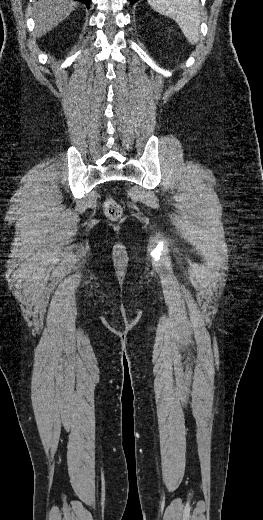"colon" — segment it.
Masks as SVG:
<instances>
[{
    "label": "colon",
    "instance_id": "colon-1",
    "mask_svg": "<svg viewBox=\"0 0 263 520\" xmlns=\"http://www.w3.org/2000/svg\"><path fill=\"white\" fill-rule=\"evenodd\" d=\"M104 212L109 219L116 220L121 217L122 208L114 199H108L104 205Z\"/></svg>",
    "mask_w": 263,
    "mask_h": 520
}]
</instances>
